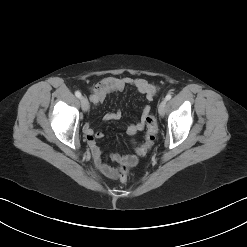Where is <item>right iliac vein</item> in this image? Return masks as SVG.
Listing matches in <instances>:
<instances>
[{"instance_id":"right-iliac-vein-1","label":"right iliac vein","mask_w":247,"mask_h":247,"mask_svg":"<svg viewBox=\"0 0 247 247\" xmlns=\"http://www.w3.org/2000/svg\"><path fill=\"white\" fill-rule=\"evenodd\" d=\"M80 101H81L82 110L84 112H87L89 110V102H88L87 98L81 97Z\"/></svg>"}]
</instances>
